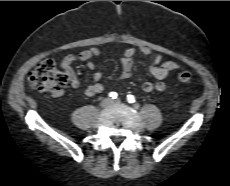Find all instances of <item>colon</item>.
I'll return each instance as SVG.
<instances>
[{"label": "colon", "instance_id": "colon-1", "mask_svg": "<svg viewBox=\"0 0 230 186\" xmlns=\"http://www.w3.org/2000/svg\"><path fill=\"white\" fill-rule=\"evenodd\" d=\"M179 82L191 81L192 74L189 71H179L176 74ZM67 84V78L56 67L51 59L40 61L28 76V85L31 89L57 95L62 92Z\"/></svg>", "mask_w": 230, "mask_h": 186}]
</instances>
